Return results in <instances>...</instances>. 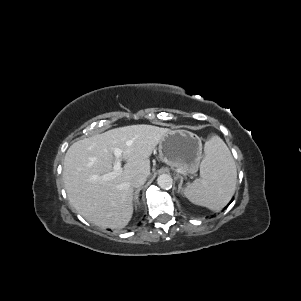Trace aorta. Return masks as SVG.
Segmentation results:
<instances>
[{
    "mask_svg": "<svg viewBox=\"0 0 301 301\" xmlns=\"http://www.w3.org/2000/svg\"><path fill=\"white\" fill-rule=\"evenodd\" d=\"M173 179L168 174H161L157 178V184L162 189H170L172 187Z\"/></svg>",
    "mask_w": 301,
    "mask_h": 301,
    "instance_id": "obj_1",
    "label": "aorta"
}]
</instances>
